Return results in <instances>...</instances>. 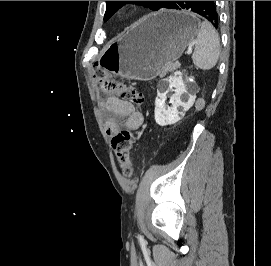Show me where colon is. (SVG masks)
I'll list each match as a JSON object with an SVG mask.
<instances>
[{
	"instance_id": "colon-1",
	"label": "colon",
	"mask_w": 271,
	"mask_h": 266,
	"mask_svg": "<svg viewBox=\"0 0 271 266\" xmlns=\"http://www.w3.org/2000/svg\"><path fill=\"white\" fill-rule=\"evenodd\" d=\"M93 73L94 79L102 91L114 94L122 99L130 100L139 106L144 103V95L124 80L109 74L99 66L94 67ZM135 141V135L127 129L118 131L111 140L116 158L126 175L132 173L130 155Z\"/></svg>"
}]
</instances>
